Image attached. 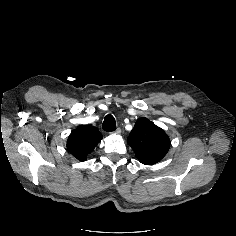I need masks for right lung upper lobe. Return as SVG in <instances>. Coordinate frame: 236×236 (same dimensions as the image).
<instances>
[{
    "instance_id": "obj_1",
    "label": "right lung upper lobe",
    "mask_w": 236,
    "mask_h": 236,
    "mask_svg": "<svg viewBox=\"0 0 236 236\" xmlns=\"http://www.w3.org/2000/svg\"><path fill=\"white\" fill-rule=\"evenodd\" d=\"M101 139L102 135L97 128L82 125L73 130L68 137L67 150L79 161H84Z\"/></svg>"
}]
</instances>
